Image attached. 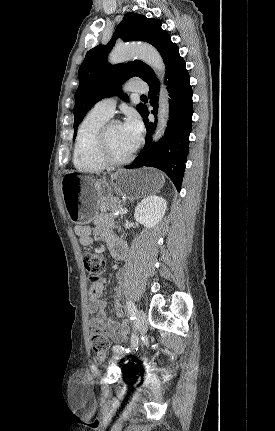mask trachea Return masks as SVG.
Instances as JSON below:
<instances>
[{"label":"trachea","mask_w":275,"mask_h":431,"mask_svg":"<svg viewBox=\"0 0 275 431\" xmlns=\"http://www.w3.org/2000/svg\"><path fill=\"white\" fill-rule=\"evenodd\" d=\"M146 96L145 95H141V98H145Z\"/></svg>","instance_id":"trachea-1"}]
</instances>
